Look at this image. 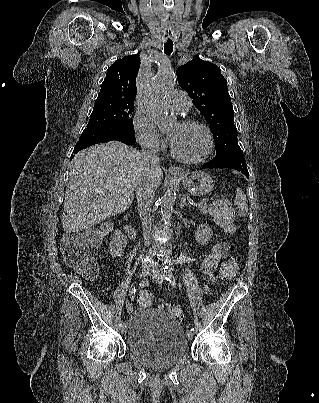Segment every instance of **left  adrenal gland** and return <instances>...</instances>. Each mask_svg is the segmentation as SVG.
Returning a JSON list of instances; mask_svg holds the SVG:
<instances>
[{"mask_svg":"<svg viewBox=\"0 0 319 403\" xmlns=\"http://www.w3.org/2000/svg\"><path fill=\"white\" fill-rule=\"evenodd\" d=\"M184 207H190L189 204L186 202V196L181 199L180 208L183 209Z\"/></svg>","mask_w":319,"mask_h":403,"instance_id":"obj_1","label":"left adrenal gland"}]
</instances>
